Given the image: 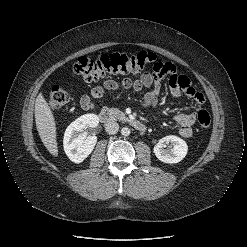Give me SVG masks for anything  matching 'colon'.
I'll return each mask as SVG.
<instances>
[{"instance_id": "1", "label": "colon", "mask_w": 247, "mask_h": 247, "mask_svg": "<svg viewBox=\"0 0 247 247\" xmlns=\"http://www.w3.org/2000/svg\"><path fill=\"white\" fill-rule=\"evenodd\" d=\"M149 65L153 66L157 75L165 72L168 67L167 63L156 61V56L153 53L141 51L135 54H104L95 58L82 56L73 64V71L84 80L93 82L110 74L138 72ZM69 100V92L63 87L55 85L50 91L48 105L51 109H59ZM197 122L201 128H208L211 124L210 114L206 110H199Z\"/></svg>"}]
</instances>
